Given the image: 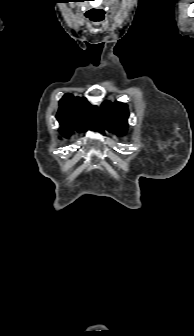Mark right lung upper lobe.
Instances as JSON below:
<instances>
[{
    "mask_svg": "<svg viewBox=\"0 0 194 336\" xmlns=\"http://www.w3.org/2000/svg\"><path fill=\"white\" fill-rule=\"evenodd\" d=\"M57 119L61 124L60 132L68 137L73 127L81 132L87 129L103 131V121L97 106L90 105L85 98L66 94L59 102ZM86 124V127H83Z\"/></svg>",
    "mask_w": 194,
    "mask_h": 336,
    "instance_id": "obj_1",
    "label": "right lung upper lobe"
}]
</instances>
